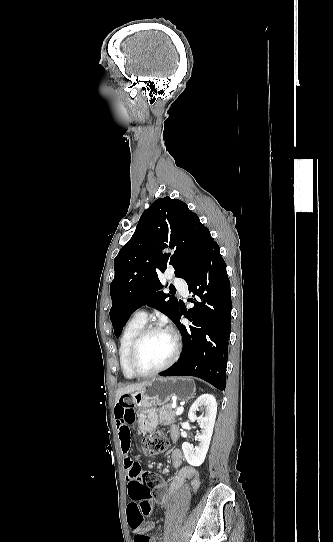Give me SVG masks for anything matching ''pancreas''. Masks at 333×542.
<instances>
[{"label": "pancreas", "instance_id": "obj_1", "mask_svg": "<svg viewBox=\"0 0 333 542\" xmlns=\"http://www.w3.org/2000/svg\"><path fill=\"white\" fill-rule=\"evenodd\" d=\"M158 412L159 424H161V426H171V424H174V422L177 420V416L175 414L176 410H173L170 404L162 406V408H159Z\"/></svg>", "mask_w": 333, "mask_h": 542}]
</instances>
